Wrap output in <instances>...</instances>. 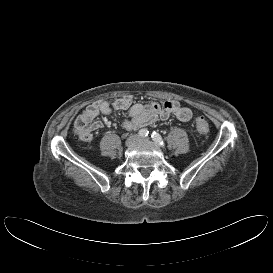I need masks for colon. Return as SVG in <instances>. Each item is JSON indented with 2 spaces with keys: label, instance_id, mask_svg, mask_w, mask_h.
Masks as SVG:
<instances>
[{
  "label": "colon",
  "instance_id": "colon-1",
  "mask_svg": "<svg viewBox=\"0 0 273 273\" xmlns=\"http://www.w3.org/2000/svg\"><path fill=\"white\" fill-rule=\"evenodd\" d=\"M195 125L197 130L201 133V134H208L210 127H209V123L208 121L204 118V117H197L195 119Z\"/></svg>",
  "mask_w": 273,
  "mask_h": 273
}]
</instances>
